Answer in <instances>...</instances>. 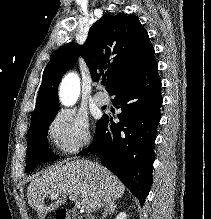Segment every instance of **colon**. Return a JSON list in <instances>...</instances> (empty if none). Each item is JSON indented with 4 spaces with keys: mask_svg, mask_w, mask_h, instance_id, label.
I'll return each instance as SVG.
<instances>
[{
    "mask_svg": "<svg viewBox=\"0 0 211 219\" xmlns=\"http://www.w3.org/2000/svg\"><path fill=\"white\" fill-rule=\"evenodd\" d=\"M57 219H69L70 218V213L66 210H60L57 213Z\"/></svg>",
    "mask_w": 211,
    "mask_h": 219,
    "instance_id": "5ec220e1",
    "label": "colon"
}]
</instances>
